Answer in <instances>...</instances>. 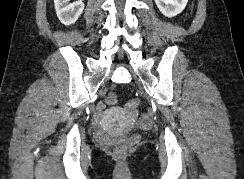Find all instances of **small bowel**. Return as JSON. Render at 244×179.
Listing matches in <instances>:
<instances>
[{"instance_id": "1", "label": "small bowel", "mask_w": 244, "mask_h": 179, "mask_svg": "<svg viewBox=\"0 0 244 179\" xmlns=\"http://www.w3.org/2000/svg\"><path fill=\"white\" fill-rule=\"evenodd\" d=\"M143 120L144 121H142V126H151V121H147L148 120L147 116H144Z\"/></svg>"}]
</instances>
